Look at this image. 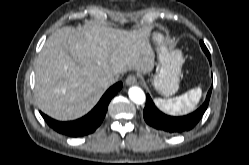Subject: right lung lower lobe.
I'll return each instance as SVG.
<instances>
[{
    "label": "right lung lower lobe",
    "instance_id": "right-lung-lower-lobe-1",
    "mask_svg": "<svg viewBox=\"0 0 249 165\" xmlns=\"http://www.w3.org/2000/svg\"><path fill=\"white\" fill-rule=\"evenodd\" d=\"M122 88V83L118 82L110 87L102 96L98 104L84 117L75 121H56L41 112L47 124L58 133L70 136L81 137L94 132L102 123L111 99Z\"/></svg>",
    "mask_w": 249,
    "mask_h": 165
}]
</instances>
